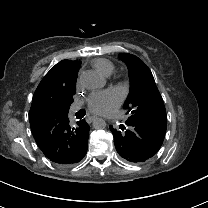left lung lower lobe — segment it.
Masks as SVG:
<instances>
[{"mask_svg":"<svg viewBox=\"0 0 208 208\" xmlns=\"http://www.w3.org/2000/svg\"><path fill=\"white\" fill-rule=\"evenodd\" d=\"M119 155L131 163H143L152 158L160 149L165 134L132 120L120 129L109 126Z\"/></svg>","mask_w":208,"mask_h":208,"instance_id":"0a47b994","label":"left lung lower lobe"}]
</instances>
